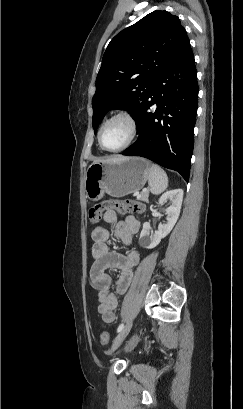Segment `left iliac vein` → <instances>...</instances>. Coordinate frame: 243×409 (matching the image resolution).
I'll return each mask as SVG.
<instances>
[{
  "instance_id": "left-iliac-vein-1",
  "label": "left iliac vein",
  "mask_w": 243,
  "mask_h": 409,
  "mask_svg": "<svg viewBox=\"0 0 243 409\" xmlns=\"http://www.w3.org/2000/svg\"><path fill=\"white\" fill-rule=\"evenodd\" d=\"M132 327V322H129L123 329L120 331V333L116 336V338L113 340L112 347L110 352H114L123 342V340L126 338L128 333L130 332Z\"/></svg>"
}]
</instances>
